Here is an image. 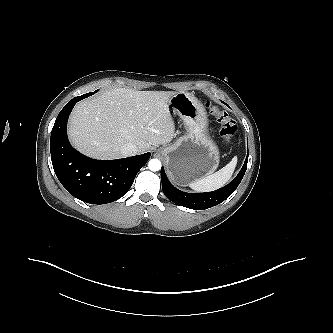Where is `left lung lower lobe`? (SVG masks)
Here are the masks:
<instances>
[{
	"label": "left lung lower lobe",
	"mask_w": 333,
	"mask_h": 333,
	"mask_svg": "<svg viewBox=\"0 0 333 333\" xmlns=\"http://www.w3.org/2000/svg\"><path fill=\"white\" fill-rule=\"evenodd\" d=\"M224 103V102H223ZM248 155L245 163L236 176L228 185L212 192L206 193H186L175 188L168 180L163 167L161 168L162 190L165 196L172 202L195 210H203L220 204L227 199L240 184L247 169Z\"/></svg>",
	"instance_id": "1"
}]
</instances>
